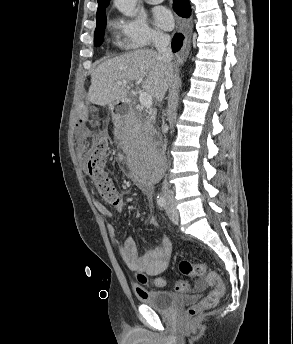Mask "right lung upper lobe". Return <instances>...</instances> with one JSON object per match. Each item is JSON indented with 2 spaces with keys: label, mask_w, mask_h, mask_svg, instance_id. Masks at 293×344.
<instances>
[{
  "label": "right lung upper lobe",
  "mask_w": 293,
  "mask_h": 344,
  "mask_svg": "<svg viewBox=\"0 0 293 344\" xmlns=\"http://www.w3.org/2000/svg\"><path fill=\"white\" fill-rule=\"evenodd\" d=\"M98 1V9H97V14H99L103 9H105L110 0H97Z\"/></svg>",
  "instance_id": "1"
}]
</instances>
